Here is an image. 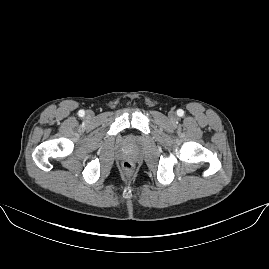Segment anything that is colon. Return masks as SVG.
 Listing matches in <instances>:
<instances>
[{"instance_id": "5ec220e1", "label": "colon", "mask_w": 269, "mask_h": 269, "mask_svg": "<svg viewBox=\"0 0 269 269\" xmlns=\"http://www.w3.org/2000/svg\"><path fill=\"white\" fill-rule=\"evenodd\" d=\"M121 170L124 174L130 175L134 171V165L130 161H124L121 165Z\"/></svg>"}]
</instances>
